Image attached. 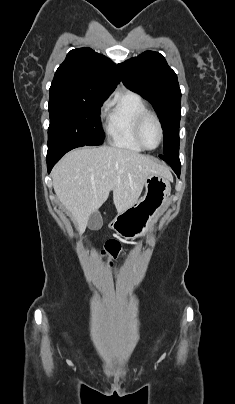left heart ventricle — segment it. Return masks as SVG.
Here are the masks:
<instances>
[{
  "mask_svg": "<svg viewBox=\"0 0 235 404\" xmlns=\"http://www.w3.org/2000/svg\"><path fill=\"white\" fill-rule=\"evenodd\" d=\"M141 137L147 147H155L159 141V129L153 118H147L141 130Z\"/></svg>",
  "mask_w": 235,
  "mask_h": 404,
  "instance_id": "1",
  "label": "left heart ventricle"
}]
</instances>
